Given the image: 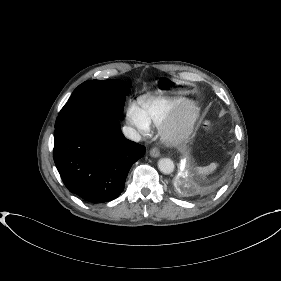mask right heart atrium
Instances as JSON below:
<instances>
[{
	"instance_id": "d8ad5b80",
	"label": "right heart atrium",
	"mask_w": 281,
	"mask_h": 281,
	"mask_svg": "<svg viewBox=\"0 0 281 281\" xmlns=\"http://www.w3.org/2000/svg\"><path fill=\"white\" fill-rule=\"evenodd\" d=\"M127 121L135 127L139 132L145 134L148 131V127L143 123L140 118L138 108L136 105H129L126 112Z\"/></svg>"
}]
</instances>
